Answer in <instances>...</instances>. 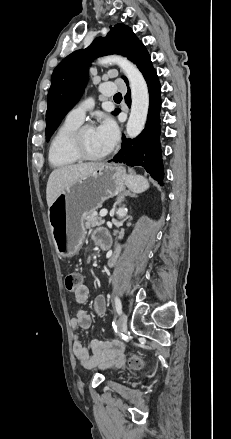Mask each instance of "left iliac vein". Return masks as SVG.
I'll use <instances>...</instances> for the list:
<instances>
[{"label": "left iliac vein", "instance_id": "left-iliac-vein-1", "mask_svg": "<svg viewBox=\"0 0 231 439\" xmlns=\"http://www.w3.org/2000/svg\"><path fill=\"white\" fill-rule=\"evenodd\" d=\"M127 327V316L126 314L123 312L120 314L119 320H118V329L121 332H125Z\"/></svg>", "mask_w": 231, "mask_h": 439}]
</instances>
